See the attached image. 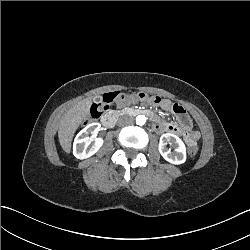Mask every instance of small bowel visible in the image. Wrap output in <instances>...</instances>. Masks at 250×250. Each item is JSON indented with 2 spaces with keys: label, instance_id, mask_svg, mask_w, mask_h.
I'll list each match as a JSON object with an SVG mask.
<instances>
[{
  "label": "small bowel",
  "instance_id": "small-bowel-1",
  "mask_svg": "<svg viewBox=\"0 0 250 250\" xmlns=\"http://www.w3.org/2000/svg\"><path fill=\"white\" fill-rule=\"evenodd\" d=\"M136 100H137L136 99V94L133 93L131 95H128L127 98H126V100L123 101V102H121V103H119V104H125L126 102H135ZM159 100H160V98H159ZM161 105L166 110L172 109V104H171V102L169 100H162L161 101ZM188 126H189V124H188ZM166 127L169 128V129H171V130H173V131H179L180 130V127L178 125H175V124L165 125L163 123H159V124L155 125V128L157 130H163ZM187 133H188V139H191L193 141H196L198 139L199 135H198L197 132L188 130Z\"/></svg>",
  "mask_w": 250,
  "mask_h": 250
}]
</instances>
